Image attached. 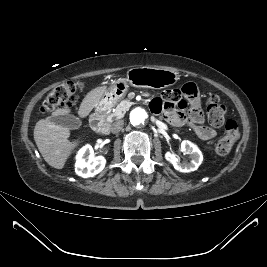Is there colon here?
Returning a JSON list of instances; mask_svg holds the SVG:
<instances>
[{"instance_id": "5ec220e1", "label": "colon", "mask_w": 267, "mask_h": 267, "mask_svg": "<svg viewBox=\"0 0 267 267\" xmlns=\"http://www.w3.org/2000/svg\"><path fill=\"white\" fill-rule=\"evenodd\" d=\"M82 83L78 81H67L56 85L46 95L42 110L51 112L56 108L75 102L82 90ZM226 107L221 103L218 96L209 98L207 105V115L209 123L215 127L224 125L225 134L218 140L216 151L220 155L229 153L234 143L239 138L238 124L234 120H225Z\"/></svg>"}]
</instances>
